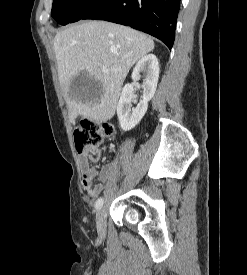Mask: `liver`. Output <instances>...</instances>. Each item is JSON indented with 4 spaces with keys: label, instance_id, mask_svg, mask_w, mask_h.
<instances>
[{
    "label": "liver",
    "instance_id": "6515ba94",
    "mask_svg": "<svg viewBox=\"0 0 247 275\" xmlns=\"http://www.w3.org/2000/svg\"><path fill=\"white\" fill-rule=\"evenodd\" d=\"M153 49L150 37L107 21H86L58 32L54 51L70 122L75 124L79 115L96 123L110 120L129 70ZM103 66L109 71L103 72ZM81 72L100 82L99 95L71 91V80Z\"/></svg>",
    "mask_w": 247,
    "mask_h": 275
}]
</instances>
